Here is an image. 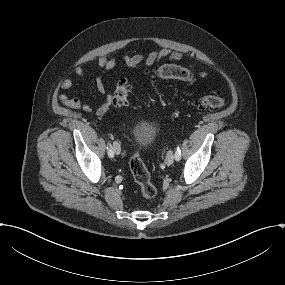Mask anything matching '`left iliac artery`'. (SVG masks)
I'll return each instance as SVG.
<instances>
[{
    "label": "left iliac artery",
    "mask_w": 285,
    "mask_h": 285,
    "mask_svg": "<svg viewBox=\"0 0 285 285\" xmlns=\"http://www.w3.org/2000/svg\"><path fill=\"white\" fill-rule=\"evenodd\" d=\"M178 157L181 158V150L179 148V146L176 147V152H175V159L178 161L180 159H178Z\"/></svg>",
    "instance_id": "obj_1"
}]
</instances>
